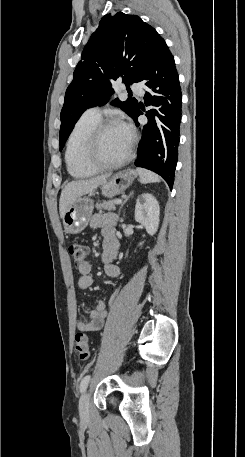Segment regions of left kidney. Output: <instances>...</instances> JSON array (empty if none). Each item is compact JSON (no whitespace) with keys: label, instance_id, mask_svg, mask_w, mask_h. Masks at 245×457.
Returning a JSON list of instances; mask_svg holds the SVG:
<instances>
[{"label":"left kidney","instance_id":"obj_1","mask_svg":"<svg viewBox=\"0 0 245 457\" xmlns=\"http://www.w3.org/2000/svg\"><path fill=\"white\" fill-rule=\"evenodd\" d=\"M160 216V206L157 198L150 192L139 194L135 206V220L145 226L148 235L157 233ZM143 245V243H139Z\"/></svg>","mask_w":245,"mask_h":457}]
</instances>
